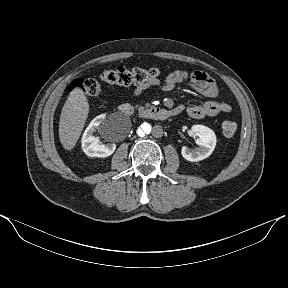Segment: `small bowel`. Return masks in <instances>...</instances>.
I'll list each match as a JSON object with an SVG mask.
<instances>
[{
	"instance_id": "c3829d8e",
	"label": "small bowel",
	"mask_w": 288,
	"mask_h": 288,
	"mask_svg": "<svg viewBox=\"0 0 288 288\" xmlns=\"http://www.w3.org/2000/svg\"><path fill=\"white\" fill-rule=\"evenodd\" d=\"M182 83H185L189 88L208 97L209 100H206L200 105H190L188 107L182 105L176 106L174 109H176L178 113L186 111L191 118L201 119L206 116L211 117L230 112L231 105L229 102L223 99H217L219 87L216 81L210 75L202 71L187 72L176 70L168 73L163 80L154 77L145 83L136 85L133 94L138 97L144 91L152 87L168 92Z\"/></svg>"
}]
</instances>
